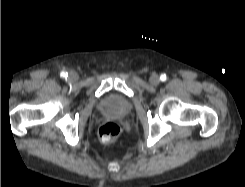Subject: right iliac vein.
Masks as SVG:
<instances>
[{
	"label": "right iliac vein",
	"instance_id": "obj_1",
	"mask_svg": "<svg viewBox=\"0 0 245 187\" xmlns=\"http://www.w3.org/2000/svg\"><path fill=\"white\" fill-rule=\"evenodd\" d=\"M77 80V75L74 72H70L68 75V81L69 82H75Z\"/></svg>",
	"mask_w": 245,
	"mask_h": 187
}]
</instances>
